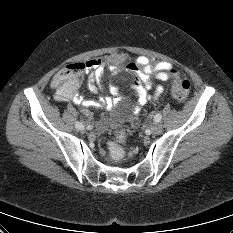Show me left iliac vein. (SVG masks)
<instances>
[{"label": "left iliac vein", "instance_id": "1", "mask_svg": "<svg viewBox=\"0 0 233 233\" xmlns=\"http://www.w3.org/2000/svg\"><path fill=\"white\" fill-rule=\"evenodd\" d=\"M150 129H151L152 134L157 135V134L161 133L162 125L160 123H158V122H154L151 125Z\"/></svg>", "mask_w": 233, "mask_h": 233}]
</instances>
